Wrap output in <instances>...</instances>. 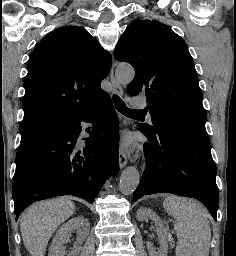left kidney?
Segmentation results:
<instances>
[{
    "label": "left kidney",
    "instance_id": "obj_1",
    "mask_svg": "<svg viewBox=\"0 0 236 256\" xmlns=\"http://www.w3.org/2000/svg\"><path fill=\"white\" fill-rule=\"evenodd\" d=\"M147 218H150V220H153V222H155L158 240L160 244V248H158V250H155L151 242H146L149 256H167V234L162 222H160V218H158L157 214H155L153 210H148V208H140V210H138L137 212V220H139V222H143V220H147Z\"/></svg>",
    "mask_w": 236,
    "mask_h": 256
}]
</instances>
